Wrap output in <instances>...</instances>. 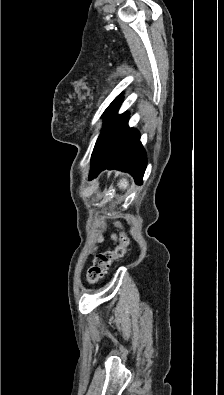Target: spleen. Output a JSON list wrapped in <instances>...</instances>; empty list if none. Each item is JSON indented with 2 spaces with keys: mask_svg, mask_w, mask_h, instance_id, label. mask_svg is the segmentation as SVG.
<instances>
[{
  "mask_svg": "<svg viewBox=\"0 0 224 395\" xmlns=\"http://www.w3.org/2000/svg\"><path fill=\"white\" fill-rule=\"evenodd\" d=\"M119 188L127 189L129 187V183L126 179H121L118 183Z\"/></svg>",
  "mask_w": 224,
  "mask_h": 395,
  "instance_id": "spleen-1",
  "label": "spleen"
}]
</instances>
